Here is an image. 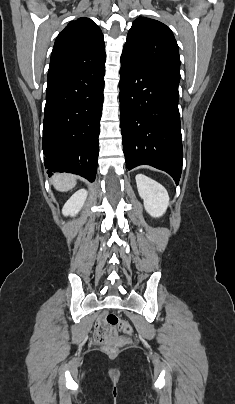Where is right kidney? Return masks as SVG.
Returning <instances> with one entry per match:
<instances>
[{
	"label": "right kidney",
	"mask_w": 235,
	"mask_h": 404,
	"mask_svg": "<svg viewBox=\"0 0 235 404\" xmlns=\"http://www.w3.org/2000/svg\"><path fill=\"white\" fill-rule=\"evenodd\" d=\"M88 192L85 189H80L74 193L71 198L65 203L62 213L65 216L76 215L83 207L87 198Z\"/></svg>",
	"instance_id": "right-kidney-1"
}]
</instances>
